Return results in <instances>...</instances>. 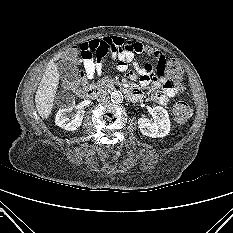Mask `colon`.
<instances>
[{
    "label": "colon",
    "mask_w": 233,
    "mask_h": 233,
    "mask_svg": "<svg viewBox=\"0 0 233 233\" xmlns=\"http://www.w3.org/2000/svg\"><path fill=\"white\" fill-rule=\"evenodd\" d=\"M159 75L168 74L170 79V85L178 88L179 90L183 89V85L181 82V77L183 74L182 67L180 63L176 60H168L164 61L160 64L158 70ZM67 87L73 91L78 96H82L86 90V80L84 78V74H80L76 80L70 81L67 84ZM192 114V109L188 103L185 101H178L173 106V115L178 122L187 121Z\"/></svg>",
    "instance_id": "colon-1"
}]
</instances>
